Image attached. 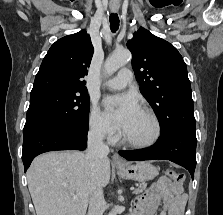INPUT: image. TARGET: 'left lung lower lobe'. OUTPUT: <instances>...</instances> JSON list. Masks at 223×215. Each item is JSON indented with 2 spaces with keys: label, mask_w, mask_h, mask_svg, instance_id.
Returning <instances> with one entry per match:
<instances>
[{
  "label": "left lung lower lobe",
  "mask_w": 223,
  "mask_h": 215,
  "mask_svg": "<svg viewBox=\"0 0 223 215\" xmlns=\"http://www.w3.org/2000/svg\"><path fill=\"white\" fill-rule=\"evenodd\" d=\"M196 144L195 130L179 129L161 134L157 142L149 148L119 151V154L127 160H170L186 168L194 179Z\"/></svg>",
  "instance_id": "0a47b994"
}]
</instances>
